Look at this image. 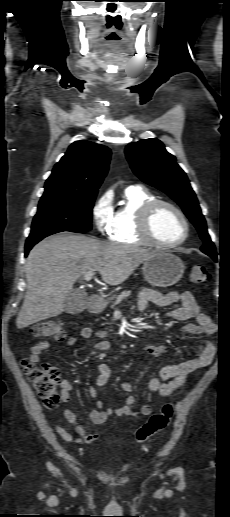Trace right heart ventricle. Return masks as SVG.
<instances>
[{"instance_id": "1", "label": "right heart ventricle", "mask_w": 230, "mask_h": 517, "mask_svg": "<svg viewBox=\"0 0 230 517\" xmlns=\"http://www.w3.org/2000/svg\"><path fill=\"white\" fill-rule=\"evenodd\" d=\"M155 196L142 186H130L124 191V203L114 213L109 232L110 241L122 245H142L149 242L139 233L138 219L143 206Z\"/></svg>"}]
</instances>
